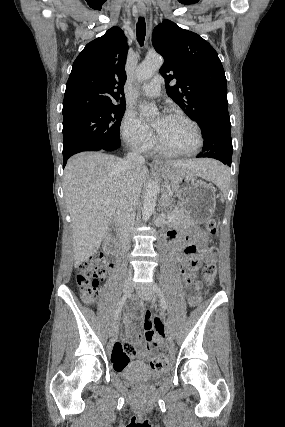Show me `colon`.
Listing matches in <instances>:
<instances>
[{"mask_svg": "<svg viewBox=\"0 0 285 427\" xmlns=\"http://www.w3.org/2000/svg\"><path fill=\"white\" fill-rule=\"evenodd\" d=\"M216 232V222L210 219L203 230L192 229L188 232L190 243L186 246V253L190 258V267L185 270V278L187 281V295L190 301L198 298L201 289V282L191 274L192 270L199 269V264L194 260L197 253L207 249L211 255L216 253V248L209 246L205 242V233L213 234ZM108 265L104 258L93 257L89 258L77 266L76 282L79 287L81 299L85 303H93L98 293V287L103 282L106 275ZM202 271L206 276L207 283H212L216 276V265L213 260L209 261ZM121 347L126 354L133 352L132 345L129 342L121 343ZM169 363L168 357L165 354H159L150 360V366L154 370H161Z\"/></svg>", "mask_w": 285, "mask_h": 427, "instance_id": "5ec220e1", "label": "colon"}]
</instances>
